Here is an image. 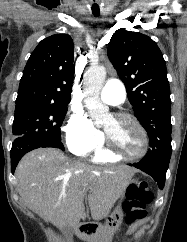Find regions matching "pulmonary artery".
<instances>
[{
    "mask_svg": "<svg viewBox=\"0 0 187 242\" xmlns=\"http://www.w3.org/2000/svg\"><path fill=\"white\" fill-rule=\"evenodd\" d=\"M125 87L117 79L108 80L100 93L101 100L111 106H118L125 100Z\"/></svg>",
    "mask_w": 187,
    "mask_h": 242,
    "instance_id": "pulmonary-artery-1",
    "label": "pulmonary artery"
}]
</instances>
